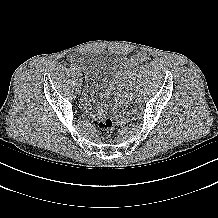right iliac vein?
<instances>
[{"label": "right iliac vein", "instance_id": "1", "mask_svg": "<svg viewBox=\"0 0 218 218\" xmlns=\"http://www.w3.org/2000/svg\"><path fill=\"white\" fill-rule=\"evenodd\" d=\"M78 86H79V87L81 86V82H80V79H79V81H78Z\"/></svg>", "mask_w": 218, "mask_h": 218}]
</instances>
